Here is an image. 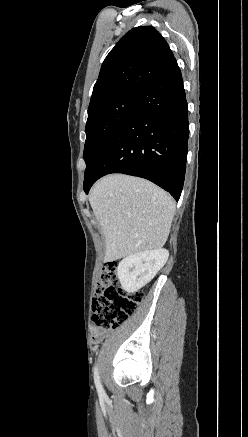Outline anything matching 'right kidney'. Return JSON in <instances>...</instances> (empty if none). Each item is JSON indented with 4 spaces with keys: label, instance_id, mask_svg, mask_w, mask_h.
I'll return each mask as SVG.
<instances>
[{
    "label": "right kidney",
    "instance_id": "ca27d5eb",
    "mask_svg": "<svg viewBox=\"0 0 248 437\" xmlns=\"http://www.w3.org/2000/svg\"><path fill=\"white\" fill-rule=\"evenodd\" d=\"M168 257V250L162 248L127 256L117 269L121 287L128 293L138 291L155 277Z\"/></svg>",
    "mask_w": 248,
    "mask_h": 437
}]
</instances>
